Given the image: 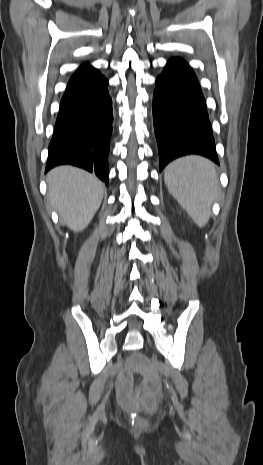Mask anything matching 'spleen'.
Returning <instances> with one entry per match:
<instances>
[{
	"instance_id": "3e777b00",
	"label": "spleen",
	"mask_w": 263,
	"mask_h": 465,
	"mask_svg": "<svg viewBox=\"0 0 263 465\" xmlns=\"http://www.w3.org/2000/svg\"><path fill=\"white\" fill-rule=\"evenodd\" d=\"M164 179L171 195L193 221L204 226L219 186L213 163L200 156L182 157L166 167Z\"/></svg>"
}]
</instances>
